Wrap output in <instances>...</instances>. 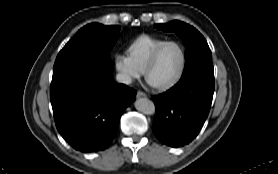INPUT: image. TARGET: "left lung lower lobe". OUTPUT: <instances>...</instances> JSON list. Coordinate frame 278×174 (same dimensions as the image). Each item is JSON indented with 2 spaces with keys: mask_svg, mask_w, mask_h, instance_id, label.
Segmentation results:
<instances>
[{
  "mask_svg": "<svg viewBox=\"0 0 278 174\" xmlns=\"http://www.w3.org/2000/svg\"><path fill=\"white\" fill-rule=\"evenodd\" d=\"M213 93L214 78L197 76L152 96L155 104L152 130L158 140L172 147L190 143L209 114Z\"/></svg>",
  "mask_w": 278,
  "mask_h": 174,
  "instance_id": "obj_1",
  "label": "left lung lower lobe"
}]
</instances>
